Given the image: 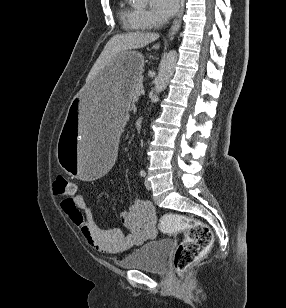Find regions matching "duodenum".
<instances>
[{"label": "duodenum", "mask_w": 286, "mask_h": 308, "mask_svg": "<svg viewBox=\"0 0 286 308\" xmlns=\"http://www.w3.org/2000/svg\"><path fill=\"white\" fill-rule=\"evenodd\" d=\"M141 126H142V121H141V120H137V121L135 122V128H136L137 130H140V129H141Z\"/></svg>", "instance_id": "410a0bca"}]
</instances>
